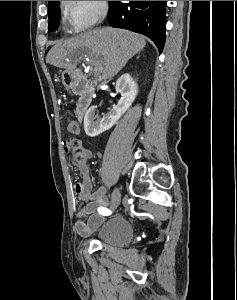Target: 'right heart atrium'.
Masks as SVG:
<instances>
[{
    "instance_id": "1",
    "label": "right heart atrium",
    "mask_w": 237,
    "mask_h": 300,
    "mask_svg": "<svg viewBox=\"0 0 237 300\" xmlns=\"http://www.w3.org/2000/svg\"><path fill=\"white\" fill-rule=\"evenodd\" d=\"M61 7L68 28L74 33L102 23L108 13L107 1H62Z\"/></svg>"
}]
</instances>
